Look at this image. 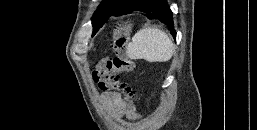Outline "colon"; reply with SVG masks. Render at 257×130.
Wrapping results in <instances>:
<instances>
[{"instance_id":"5ec220e1","label":"colon","mask_w":257,"mask_h":130,"mask_svg":"<svg viewBox=\"0 0 257 130\" xmlns=\"http://www.w3.org/2000/svg\"><path fill=\"white\" fill-rule=\"evenodd\" d=\"M130 27L122 25L115 29L112 42V56L103 58L93 70V78L101 91H117L124 100L133 104L139 98L138 94L126 83L121 81L120 75L134 70V62L128 53Z\"/></svg>"}]
</instances>
